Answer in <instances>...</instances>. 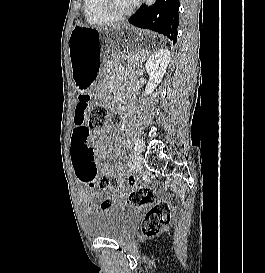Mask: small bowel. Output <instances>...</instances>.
I'll return each instance as SVG.
<instances>
[{
    "mask_svg": "<svg viewBox=\"0 0 265 273\" xmlns=\"http://www.w3.org/2000/svg\"><path fill=\"white\" fill-rule=\"evenodd\" d=\"M113 112L118 111L113 110ZM89 137L90 132L87 126L86 128H75L74 125L70 138V160L74 175L82 187L81 198L86 211L91 208L89 186L96 180L99 172L109 174L112 169L111 166L105 162L98 163L94 155L90 153ZM113 154L112 151L106 150L102 153L101 158L108 159L111 158ZM85 178H88L89 182H86ZM98 194H101V191H98ZM100 198H103V195H100ZM97 203H100V200H97Z\"/></svg>",
    "mask_w": 265,
    "mask_h": 273,
    "instance_id": "1",
    "label": "small bowel"
}]
</instances>
